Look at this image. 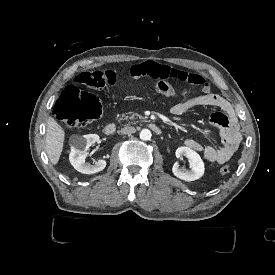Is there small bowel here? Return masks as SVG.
Returning a JSON list of instances; mask_svg holds the SVG:
<instances>
[{"mask_svg": "<svg viewBox=\"0 0 275 275\" xmlns=\"http://www.w3.org/2000/svg\"><path fill=\"white\" fill-rule=\"evenodd\" d=\"M136 76H148L152 80H180L181 82H194L197 85L203 83V74L199 71H182L173 65H158L155 62H145L134 68ZM118 79V72L115 69H108L104 75V82L107 85H114ZM204 95L183 100L174 104L170 112L175 117H181L190 109L200 106H214L219 108L229 118V124L226 127L213 126L205 128L203 133L208 135L211 128H216L221 136L222 144L208 141L203 144L195 139L188 138L184 144L196 152H199L209 162L224 164L228 162L238 150L242 135L239 128L238 118L233 105L218 94L208 92L205 88Z\"/></svg>", "mask_w": 275, "mask_h": 275, "instance_id": "small-bowel-1", "label": "small bowel"}]
</instances>
